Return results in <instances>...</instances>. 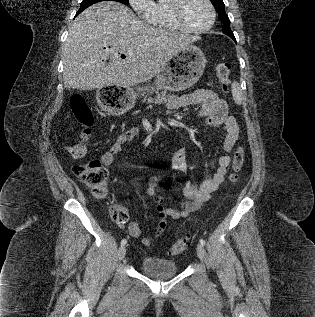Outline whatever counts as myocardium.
I'll return each mask as SVG.
<instances>
[{
	"label": "myocardium",
	"mask_w": 315,
	"mask_h": 317,
	"mask_svg": "<svg viewBox=\"0 0 315 317\" xmlns=\"http://www.w3.org/2000/svg\"><path fill=\"white\" fill-rule=\"evenodd\" d=\"M204 1L207 4L210 11V20L206 26L195 28L185 23L182 17V9H183L185 0H169L167 6H168V12H169L171 20L179 29H182L184 31L193 32V33H204L209 31L215 23L216 10L211 0H204Z\"/></svg>",
	"instance_id": "f54148a6"
}]
</instances>
